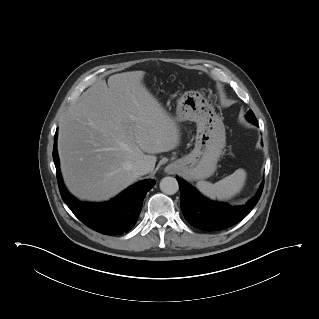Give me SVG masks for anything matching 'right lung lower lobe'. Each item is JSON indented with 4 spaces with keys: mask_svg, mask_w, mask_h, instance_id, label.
Instances as JSON below:
<instances>
[{
    "mask_svg": "<svg viewBox=\"0 0 319 319\" xmlns=\"http://www.w3.org/2000/svg\"><path fill=\"white\" fill-rule=\"evenodd\" d=\"M57 130L54 137L53 159L57 171L59 190L65 204L89 228L105 235H120L136 223L146 193L155 180H143L130 186L116 198L104 203L79 202L65 188L59 167Z\"/></svg>",
    "mask_w": 319,
    "mask_h": 319,
    "instance_id": "1",
    "label": "right lung lower lobe"
}]
</instances>
